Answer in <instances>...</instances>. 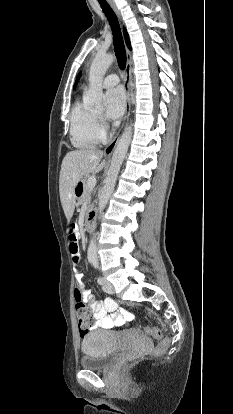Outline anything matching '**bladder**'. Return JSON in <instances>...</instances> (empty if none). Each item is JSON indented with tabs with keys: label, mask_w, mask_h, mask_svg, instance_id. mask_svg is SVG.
Segmentation results:
<instances>
[{
	"label": "bladder",
	"mask_w": 233,
	"mask_h": 414,
	"mask_svg": "<svg viewBox=\"0 0 233 414\" xmlns=\"http://www.w3.org/2000/svg\"><path fill=\"white\" fill-rule=\"evenodd\" d=\"M117 333L114 331L94 329L83 336L81 349L83 356L80 366L85 370H104L111 366L117 354ZM142 344L150 347L151 343L139 337Z\"/></svg>",
	"instance_id": "31cf9c89"
}]
</instances>
